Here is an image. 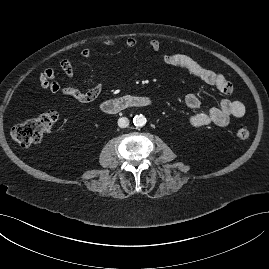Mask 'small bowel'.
<instances>
[{
	"instance_id": "obj_1",
	"label": "small bowel",
	"mask_w": 269,
	"mask_h": 269,
	"mask_svg": "<svg viewBox=\"0 0 269 269\" xmlns=\"http://www.w3.org/2000/svg\"><path fill=\"white\" fill-rule=\"evenodd\" d=\"M107 46H113V40H105L103 42ZM137 45L135 38H128L125 46L128 49H133ZM148 47L153 52L161 50L162 46L158 40H151ZM81 55L85 59L92 58V51L86 47L81 51ZM164 64L187 71L193 77L202 82L216 87L221 93L229 95L233 92V85L224 75L213 70L205 68L196 60L183 53H165L162 56ZM60 66L65 75L72 78L75 75V70L71 61L63 58L60 61ZM40 86L51 93H60L65 97L72 98L80 103H90L97 99L104 89V82H99L87 91H82L73 86L62 87L55 79V71L53 68H46L39 75ZM184 104L189 109H196L200 105L199 97L190 93L184 98ZM246 113V107L243 102L223 98L220 100L217 107L198 112L194 114L189 123L195 128L203 127L209 124H214L220 127L227 126L232 118H240Z\"/></svg>"
}]
</instances>
